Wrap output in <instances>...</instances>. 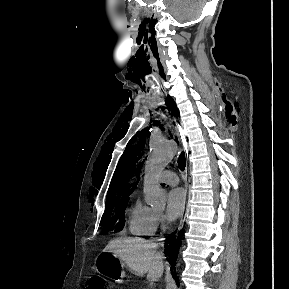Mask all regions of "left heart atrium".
Masks as SVG:
<instances>
[{
	"label": "left heart atrium",
	"instance_id": "obj_1",
	"mask_svg": "<svg viewBox=\"0 0 289 289\" xmlns=\"http://www.w3.org/2000/svg\"><path fill=\"white\" fill-rule=\"evenodd\" d=\"M187 196L183 189L174 188L167 195L166 218L173 221L179 218L186 207Z\"/></svg>",
	"mask_w": 289,
	"mask_h": 289
}]
</instances>
